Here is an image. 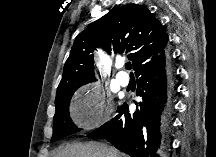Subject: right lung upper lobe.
<instances>
[{"label": "right lung upper lobe", "instance_id": "1", "mask_svg": "<svg viewBox=\"0 0 216 157\" xmlns=\"http://www.w3.org/2000/svg\"><path fill=\"white\" fill-rule=\"evenodd\" d=\"M167 42L160 21L146 7L126 4L112 9L75 38L56 98L63 91H73L95 81L93 51L96 47H102L109 54L132 52L128 58L136 71L163 53Z\"/></svg>", "mask_w": 216, "mask_h": 157}]
</instances>
